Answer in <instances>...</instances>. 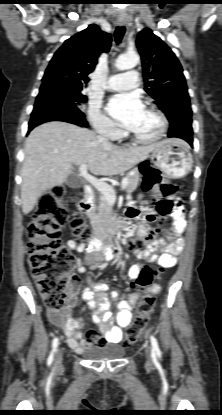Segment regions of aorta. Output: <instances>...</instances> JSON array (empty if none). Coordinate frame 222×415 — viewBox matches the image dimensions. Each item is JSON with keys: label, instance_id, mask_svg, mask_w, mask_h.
Segmentation results:
<instances>
[{"label": "aorta", "instance_id": "aorta-1", "mask_svg": "<svg viewBox=\"0 0 222 415\" xmlns=\"http://www.w3.org/2000/svg\"><path fill=\"white\" fill-rule=\"evenodd\" d=\"M139 61L140 58L136 53L124 54L117 58L115 65L119 70H128L134 68Z\"/></svg>", "mask_w": 222, "mask_h": 415}]
</instances>
